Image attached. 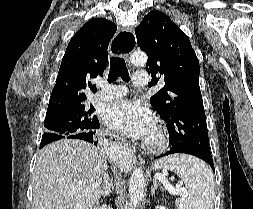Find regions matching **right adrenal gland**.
I'll return each mask as SVG.
<instances>
[{
	"label": "right adrenal gland",
	"mask_w": 253,
	"mask_h": 209,
	"mask_svg": "<svg viewBox=\"0 0 253 209\" xmlns=\"http://www.w3.org/2000/svg\"><path fill=\"white\" fill-rule=\"evenodd\" d=\"M104 181L106 184L104 186L105 191L103 192V195L108 196L113 191L114 186H113V180L110 178L107 172L105 173Z\"/></svg>",
	"instance_id": "obj_1"
}]
</instances>
